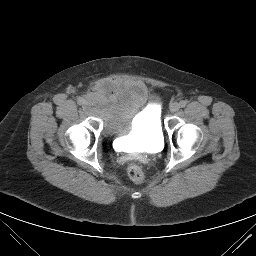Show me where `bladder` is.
Returning <instances> with one entry per match:
<instances>
[{"instance_id":"31cf9c89","label":"bladder","mask_w":256,"mask_h":256,"mask_svg":"<svg viewBox=\"0 0 256 256\" xmlns=\"http://www.w3.org/2000/svg\"><path fill=\"white\" fill-rule=\"evenodd\" d=\"M87 103L102 119L103 131L125 137L128 145L155 148L163 142L159 103L144 84L103 83L89 94Z\"/></svg>"}]
</instances>
